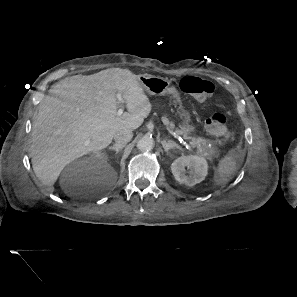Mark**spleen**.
Wrapping results in <instances>:
<instances>
[{
    "label": "spleen",
    "instance_id": "1",
    "mask_svg": "<svg viewBox=\"0 0 297 297\" xmlns=\"http://www.w3.org/2000/svg\"><path fill=\"white\" fill-rule=\"evenodd\" d=\"M236 171V160L234 157L226 155L222 158L214 173L213 186L225 184Z\"/></svg>",
    "mask_w": 297,
    "mask_h": 297
}]
</instances>
